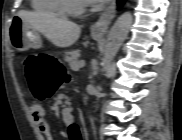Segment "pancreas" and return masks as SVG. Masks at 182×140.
Segmentation results:
<instances>
[{
    "instance_id": "cf45deb5",
    "label": "pancreas",
    "mask_w": 182,
    "mask_h": 140,
    "mask_svg": "<svg viewBox=\"0 0 182 140\" xmlns=\"http://www.w3.org/2000/svg\"><path fill=\"white\" fill-rule=\"evenodd\" d=\"M80 52L78 50L68 52L66 54V60L69 63L71 69L78 70L79 69V60L78 57Z\"/></svg>"
}]
</instances>
